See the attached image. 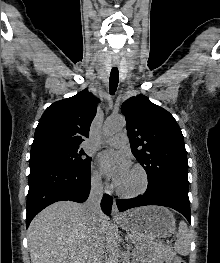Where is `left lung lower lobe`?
<instances>
[{
    "label": "left lung lower lobe",
    "mask_w": 220,
    "mask_h": 263,
    "mask_svg": "<svg viewBox=\"0 0 220 263\" xmlns=\"http://www.w3.org/2000/svg\"><path fill=\"white\" fill-rule=\"evenodd\" d=\"M116 203L121 212L133 207L145 205L170 207L184 215L189 223H191L188 189L173 183L161 182L148 186L142 196L132 199H118Z\"/></svg>",
    "instance_id": "1"
}]
</instances>
